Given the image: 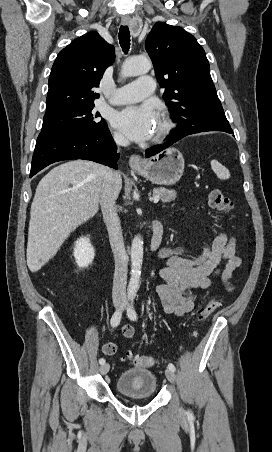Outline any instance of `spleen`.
Segmentation results:
<instances>
[{"mask_svg": "<svg viewBox=\"0 0 272 452\" xmlns=\"http://www.w3.org/2000/svg\"><path fill=\"white\" fill-rule=\"evenodd\" d=\"M211 167L219 179L226 180L230 178L229 170L225 166L220 164L218 161L213 160L211 162Z\"/></svg>", "mask_w": 272, "mask_h": 452, "instance_id": "3e777b00", "label": "spleen"}]
</instances>
